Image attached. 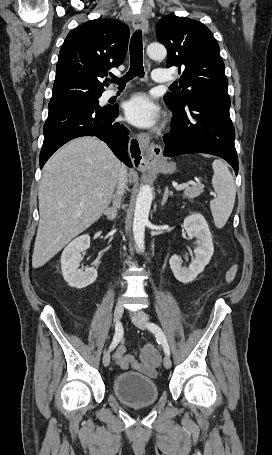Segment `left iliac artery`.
<instances>
[{"label": "left iliac artery", "instance_id": "left-iliac-artery-1", "mask_svg": "<svg viewBox=\"0 0 272 455\" xmlns=\"http://www.w3.org/2000/svg\"><path fill=\"white\" fill-rule=\"evenodd\" d=\"M147 326L151 330V332H153L156 335L157 339L163 346L164 352L169 356L170 348H169L166 336H165L164 332L162 331V329L154 323H149Z\"/></svg>", "mask_w": 272, "mask_h": 455}]
</instances>
